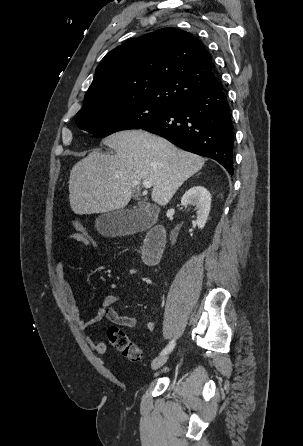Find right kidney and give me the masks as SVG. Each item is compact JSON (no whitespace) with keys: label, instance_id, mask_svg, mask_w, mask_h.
I'll return each instance as SVG.
<instances>
[{"label":"right kidney","instance_id":"right-kidney-1","mask_svg":"<svg viewBox=\"0 0 303 446\" xmlns=\"http://www.w3.org/2000/svg\"><path fill=\"white\" fill-rule=\"evenodd\" d=\"M181 204L185 207L196 206L198 228H204L211 208L210 192L203 186H194L185 192L181 198Z\"/></svg>","mask_w":303,"mask_h":446}]
</instances>
